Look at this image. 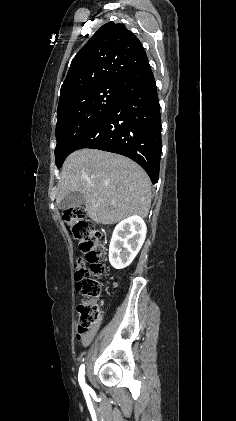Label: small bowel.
<instances>
[{"mask_svg":"<svg viewBox=\"0 0 236 421\" xmlns=\"http://www.w3.org/2000/svg\"><path fill=\"white\" fill-rule=\"evenodd\" d=\"M96 332H97V328H94L91 332L87 333L86 335L82 337L81 342L85 345L90 344Z\"/></svg>","mask_w":236,"mask_h":421,"instance_id":"1","label":"small bowel"}]
</instances>
